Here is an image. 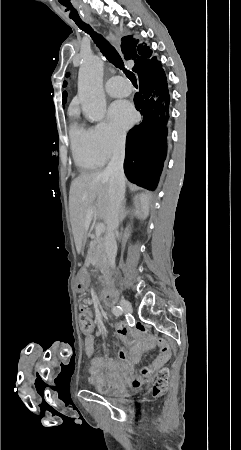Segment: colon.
Masks as SVG:
<instances>
[{"instance_id":"1","label":"colon","mask_w":241,"mask_h":450,"mask_svg":"<svg viewBox=\"0 0 241 450\" xmlns=\"http://www.w3.org/2000/svg\"><path fill=\"white\" fill-rule=\"evenodd\" d=\"M79 333L91 335L93 333V316L87 315L79 320ZM154 373V372H153ZM172 373L170 368L165 370V373L157 371L153 375L151 396L158 398L162 396L163 392L168 387V375Z\"/></svg>"}]
</instances>
